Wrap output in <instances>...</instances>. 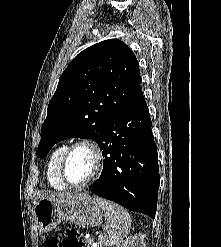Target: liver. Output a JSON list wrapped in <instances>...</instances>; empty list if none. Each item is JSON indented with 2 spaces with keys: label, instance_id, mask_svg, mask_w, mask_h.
Returning <instances> with one entry per match:
<instances>
[{
  "label": "liver",
  "instance_id": "6515ba94",
  "mask_svg": "<svg viewBox=\"0 0 221 247\" xmlns=\"http://www.w3.org/2000/svg\"><path fill=\"white\" fill-rule=\"evenodd\" d=\"M71 196L70 193H58V194H45L41 198H49V199H57V198H65Z\"/></svg>",
  "mask_w": 221,
  "mask_h": 247
}]
</instances>
